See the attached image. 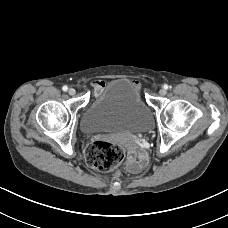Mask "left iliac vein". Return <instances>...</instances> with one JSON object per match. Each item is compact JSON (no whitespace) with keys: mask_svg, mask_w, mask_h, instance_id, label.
<instances>
[{"mask_svg":"<svg viewBox=\"0 0 228 228\" xmlns=\"http://www.w3.org/2000/svg\"><path fill=\"white\" fill-rule=\"evenodd\" d=\"M166 93H167V91L165 90V89H160V91H159V94L161 95V96H164V95H166Z\"/></svg>","mask_w":228,"mask_h":228,"instance_id":"1","label":"left iliac vein"}]
</instances>
